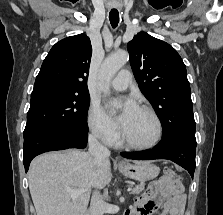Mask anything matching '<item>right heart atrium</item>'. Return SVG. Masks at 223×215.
Segmentation results:
<instances>
[{
    "label": "right heart atrium",
    "mask_w": 223,
    "mask_h": 215,
    "mask_svg": "<svg viewBox=\"0 0 223 215\" xmlns=\"http://www.w3.org/2000/svg\"><path fill=\"white\" fill-rule=\"evenodd\" d=\"M87 125L99 140L110 142L117 138L118 129L98 103H91L87 114Z\"/></svg>",
    "instance_id": "1"
}]
</instances>
